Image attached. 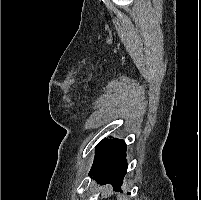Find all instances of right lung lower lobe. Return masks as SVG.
<instances>
[{"mask_svg":"<svg viewBox=\"0 0 201 200\" xmlns=\"http://www.w3.org/2000/svg\"><path fill=\"white\" fill-rule=\"evenodd\" d=\"M127 146L123 140L104 139L96 146V154L91 174H94L101 184H112L120 190L127 170Z\"/></svg>","mask_w":201,"mask_h":200,"instance_id":"1","label":"right lung lower lobe"}]
</instances>
